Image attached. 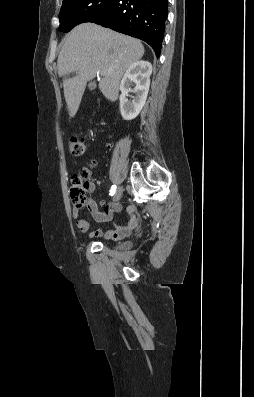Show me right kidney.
Segmentation results:
<instances>
[{
  "instance_id": "ca27d5eb",
  "label": "right kidney",
  "mask_w": 254,
  "mask_h": 397,
  "mask_svg": "<svg viewBox=\"0 0 254 397\" xmlns=\"http://www.w3.org/2000/svg\"><path fill=\"white\" fill-rule=\"evenodd\" d=\"M152 65L148 61H136L126 70L121 83L120 90V112L125 120H132L138 116L142 110L149 91L150 76ZM135 84L134 90L131 86ZM129 92H134L129 100Z\"/></svg>"
}]
</instances>
